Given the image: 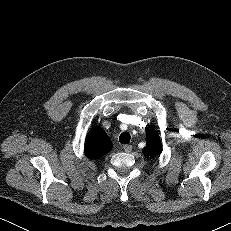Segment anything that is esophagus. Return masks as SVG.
I'll return each instance as SVG.
<instances>
[{
    "label": "esophagus",
    "mask_w": 231,
    "mask_h": 231,
    "mask_svg": "<svg viewBox=\"0 0 231 231\" xmlns=\"http://www.w3.org/2000/svg\"><path fill=\"white\" fill-rule=\"evenodd\" d=\"M123 149H124L125 152L129 153V152L132 151V146H131V145H125V146L123 147Z\"/></svg>",
    "instance_id": "obj_1"
}]
</instances>
